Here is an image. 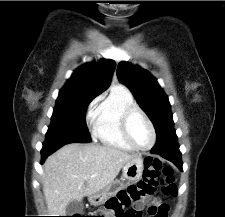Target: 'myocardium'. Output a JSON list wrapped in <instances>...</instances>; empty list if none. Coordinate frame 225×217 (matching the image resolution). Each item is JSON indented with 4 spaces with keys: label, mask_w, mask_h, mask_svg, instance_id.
Returning <instances> with one entry per match:
<instances>
[{
    "label": "myocardium",
    "mask_w": 225,
    "mask_h": 217,
    "mask_svg": "<svg viewBox=\"0 0 225 217\" xmlns=\"http://www.w3.org/2000/svg\"><path fill=\"white\" fill-rule=\"evenodd\" d=\"M136 114L141 115L145 119V121L147 122V124L150 128V131L152 134V142L148 147H140L132 139L131 132H130V122H131V119L133 118V116H135ZM121 132H122V135H123V138L125 139V141L134 150H137V151H148V150L152 149L156 143L155 127H154L151 119L149 118V116L137 105L128 107L123 112L122 117H121Z\"/></svg>",
    "instance_id": "myocardium-1"
}]
</instances>
